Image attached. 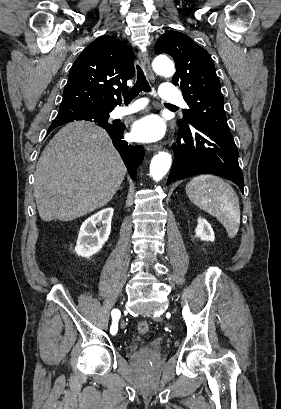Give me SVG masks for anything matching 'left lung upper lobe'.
<instances>
[{"label":"left lung upper lobe","instance_id":"1","mask_svg":"<svg viewBox=\"0 0 281 409\" xmlns=\"http://www.w3.org/2000/svg\"><path fill=\"white\" fill-rule=\"evenodd\" d=\"M155 52L169 54L176 64L172 82L181 88L189 106V109L182 111L183 120H179L178 125L181 127L190 122H202L230 131L223 108L220 81L209 53L178 31L163 34L155 44Z\"/></svg>","mask_w":281,"mask_h":409}]
</instances>
